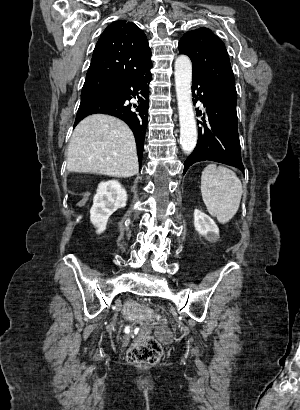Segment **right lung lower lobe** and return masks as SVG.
Here are the masks:
<instances>
[{"label": "right lung lower lobe", "instance_id": "1", "mask_svg": "<svg viewBox=\"0 0 300 410\" xmlns=\"http://www.w3.org/2000/svg\"><path fill=\"white\" fill-rule=\"evenodd\" d=\"M150 80L151 73L148 70L140 74L126 75L106 87L81 94V103L74 126L84 117L95 113H105L120 118L134 133L141 165L148 122ZM133 98L137 99L136 104L129 102Z\"/></svg>", "mask_w": 300, "mask_h": 410}]
</instances>
